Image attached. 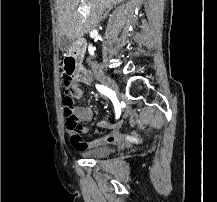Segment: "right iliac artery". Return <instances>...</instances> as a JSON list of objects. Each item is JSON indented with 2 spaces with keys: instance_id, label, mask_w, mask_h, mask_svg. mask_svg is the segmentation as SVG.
Masks as SVG:
<instances>
[{
  "instance_id": "right-iliac-artery-1",
  "label": "right iliac artery",
  "mask_w": 217,
  "mask_h": 202,
  "mask_svg": "<svg viewBox=\"0 0 217 202\" xmlns=\"http://www.w3.org/2000/svg\"><path fill=\"white\" fill-rule=\"evenodd\" d=\"M96 88L99 92H101L102 94L106 95L107 97L110 98V101L113 102L114 108H115V116L118 118L121 116V105L120 102L117 101V98L115 96L114 91H112L111 89H109L108 87H105L103 85H96Z\"/></svg>"
}]
</instances>
